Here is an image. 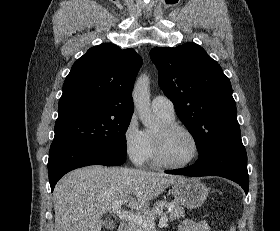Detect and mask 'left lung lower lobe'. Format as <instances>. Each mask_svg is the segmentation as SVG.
<instances>
[{"mask_svg":"<svg viewBox=\"0 0 280 231\" xmlns=\"http://www.w3.org/2000/svg\"><path fill=\"white\" fill-rule=\"evenodd\" d=\"M166 173L192 177L220 176L238 183L246 194L249 190L247 154L241 138L219 143L207 150L192 166Z\"/></svg>","mask_w":280,"mask_h":231,"instance_id":"0a47b994","label":"left lung lower lobe"}]
</instances>
